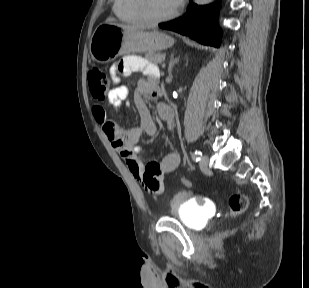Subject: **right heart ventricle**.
Masks as SVG:
<instances>
[{
	"instance_id": "right-heart-ventricle-1",
	"label": "right heart ventricle",
	"mask_w": 309,
	"mask_h": 288,
	"mask_svg": "<svg viewBox=\"0 0 309 288\" xmlns=\"http://www.w3.org/2000/svg\"><path fill=\"white\" fill-rule=\"evenodd\" d=\"M113 10L117 18L125 23H145L136 9L135 0H114Z\"/></svg>"
}]
</instances>
